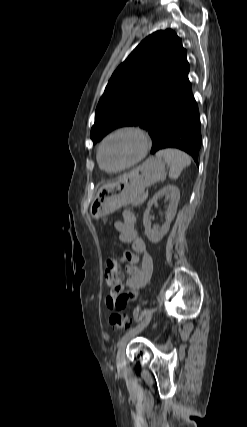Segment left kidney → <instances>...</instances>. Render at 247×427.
<instances>
[{
    "instance_id": "obj_1",
    "label": "left kidney",
    "mask_w": 247,
    "mask_h": 427,
    "mask_svg": "<svg viewBox=\"0 0 247 427\" xmlns=\"http://www.w3.org/2000/svg\"><path fill=\"white\" fill-rule=\"evenodd\" d=\"M165 196L167 199H169V206L165 213L166 215V221L164 225L158 229V228H151V216H150V210L154 203H156L161 197ZM180 200V191L177 186L175 185H167L163 187L161 190H159L153 198L148 202L147 209L144 212L143 217V224L145 228V234L147 238L154 244L160 242L162 238L167 234V232L170 229V224L172 220L174 219L177 211L178 202Z\"/></svg>"
}]
</instances>
